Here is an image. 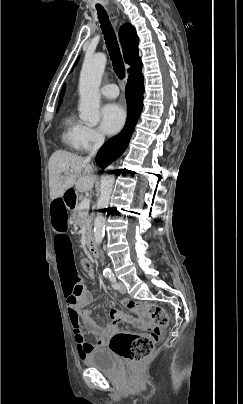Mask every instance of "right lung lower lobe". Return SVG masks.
<instances>
[{
  "label": "right lung lower lobe",
  "mask_w": 243,
  "mask_h": 404,
  "mask_svg": "<svg viewBox=\"0 0 243 404\" xmlns=\"http://www.w3.org/2000/svg\"><path fill=\"white\" fill-rule=\"evenodd\" d=\"M143 93V75L140 71L128 78L125 91L128 108L127 121L124 129L117 136L108 140L98 151L96 163L99 167L105 168L125 151L142 111Z\"/></svg>",
  "instance_id": "1"
}]
</instances>
